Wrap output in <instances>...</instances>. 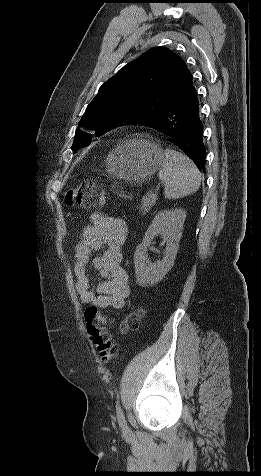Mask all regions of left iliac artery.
<instances>
[{
	"label": "left iliac artery",
	"instance_id": "44dca946",
	"mask_svg": "<svg viewBox=\"0 0 261 476\" xmlns=\"http://www.w3.org/2000/svg\"><path fill=\"white\" fill-rule=\"evenodd\" d=\"M117 418H118V421H119L120 425L122 427H125L126 420H125V417H124L123 410L121 409L120 406L117 407Z\"/></svg>",
	"mask_w": 261,
	"mask_h": 476
}]
</instances>
